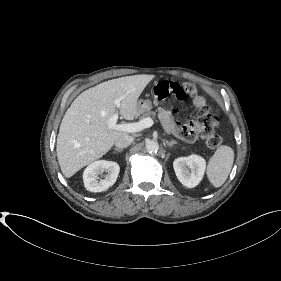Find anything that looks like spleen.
<instances>
[{
  "label": "spleen",
  "instance_id": "obj_1",
  "mask_svg": "<svg viewBox=\"0 0 281 281\" xmlns=\"http://www.w3.org/2000/svg\"><path fill=\"white\" fill-rule=\"evenodd\" d=\"M234 151L231 147L222 145L217 148L207 166V177L210 183L218 188L226 181L233 165Z\"/></svg>",
  "mask_w": 281,
  "mask_h": 281
}]
</instances>
